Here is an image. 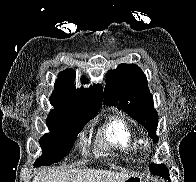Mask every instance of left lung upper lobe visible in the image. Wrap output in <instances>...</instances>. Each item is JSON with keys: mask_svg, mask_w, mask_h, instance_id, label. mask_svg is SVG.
Segmentation results:
<instances>
[{"mask_svg": "<svg viewBox=\"0 0 196 182\" xmlns=\"http://www.w3.org/2000/svg\"><path fill=\"white\" fill-rule=\"evenodd\" d=\"M106 82L104 103L127 112L131 118L147 128L154 142H158V115L143 71L136 64H120L116 69L108 71ZM150 170L152 174L170 181L164 164H152Z\"/></svg>", "mask_w": 196, "mask_h": 182, "instance_id": "left-lung-upper-lobe-1", "label": "left lung upper lobe"}]
</instances>
